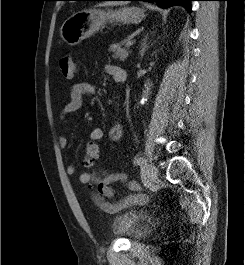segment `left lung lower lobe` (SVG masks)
I'll use <instances>...</instances> for the list:
<instances>
[{
	"label": "left lung lower lobe",
	"instance_id": "1",
	"mask_svg": "<svg viewBox=\"0 0 245 265\" xmlns=\"http://www.w3.org/2000/svg\"><path fill=\"white\" fill-rule=\"evenodd\" d=\"M89 1H108V0H89ZM123 1H156L157 5L162 8H169L171 6L181 5L184 6L188 11H191V1L195 0H123Z\"/></svg>",
	"mask_w": 245,
	"mask_h": 265
}]
</instances>
